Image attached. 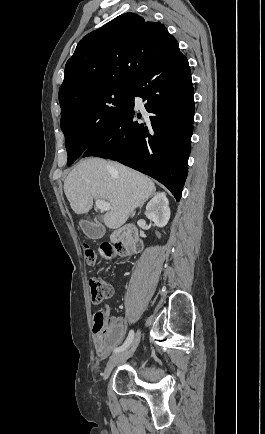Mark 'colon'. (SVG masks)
<instances>
[{
	"label": "colon",
	"mask_w": 265,
	"mask_h": 434,
	"mask_svg": "<svg viewBox=\"0 0 265 434\" xmlns=\"http://www.w3.org/2000/svg\"><path fill=\"white\" fill-rule=\"evenodd\" d=\"M86 255V262L88 265L93 266L97 263L98 257L101 256L104 260L110 259L112 255V249L110 246H104L101 248L99 252H96L89 245H83ZM89 285V293L91 303L94 305H98L105 300L112 298L114 294V285L102 278L91 276L88 281ZM92 327L91 334L92 335H103L104 331L107 328V321L104 314L99 309H96L93 312L91 317Z\"/></svg>",
	"instance_id": "1"
}]
</instances>
